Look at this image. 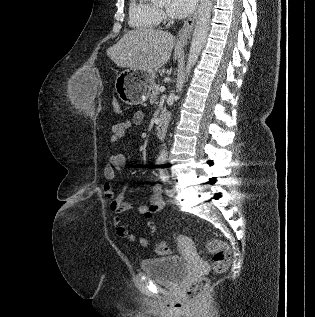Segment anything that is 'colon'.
<instances>
[{"instance_id":"5ec220e1","label":"colon","mask_w":315,"mask_h":317,"mask_svg":"<svg viewBox=\"0 0 315 317\" xmlns=\"http://www.w3.org/2000/svg\"><path fill=\"white\" fill-rule=\"evenodd\" d=\"M114 108L117 112L120 111V105L117 101L114 102ZM159 254H168L171 251V245L166 241H162L156 248ZM206 252L212 255V270L215 273H224L230 264L231 251L229 246L222 240L211 238L206 243ZM209 285L207 277H201L189 284L186 290V296L189 300L194 301L199 299L206 291Z\"/></svg>"}]
</instances>
